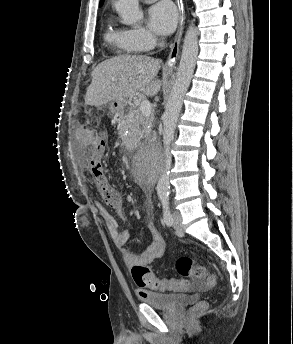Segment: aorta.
Here are the masks:
<instances>
[{"label":"aorta","mask_w":293,"mask_h":344,"mask_svg":"<svg viewBox=\"0 0 293 344\" xmlns=\"http://www.w3.org/2000/svg\"><path fill=\"white\" fill-rule=\"evenodd\" d=\"M115 8L125 25H133L143 17V13L139 9L138 0H118L115 3ZM197 55L198 35L197 31L191 25L184 38L176 79L171 89L165 112L162 115L165 165L157 183V194L159 197H166L169 194V170L172 162L170 153L171 144L174 140L176 124L182 108L183 99L193 76ZM141 161L142 163L146 162L145 158H142Z\"/></svg>","instance_id":"obj_1"}]
</instances>
